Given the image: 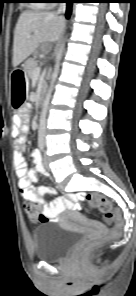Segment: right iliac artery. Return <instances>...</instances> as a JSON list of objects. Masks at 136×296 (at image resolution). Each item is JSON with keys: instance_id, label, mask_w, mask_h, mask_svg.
<instances>
[{"instance_id": "right-iliac-artery-1", "label": "right iliac artery", "mask_w": 136, "mask_h": 296, "mask_svg": "<svg viewBox=\"0 0 136 296\" xmlns=\"http://www.w3.org/2000/svg\"><path fill=\"white\" fill-rule=\"evenodd\" d=\"M39 148H40L41 151H44V144H40Z\"/></svg>"}]
</instances>
